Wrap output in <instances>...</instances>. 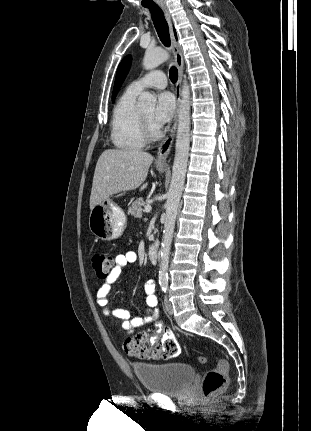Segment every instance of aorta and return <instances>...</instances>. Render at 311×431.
<instances>
[{
	"instance_id": "762f6f07",
	"label": "aorta",
	"mask_w": 311,
	"mask_h": 431,
	"mask_svg": "<svg viewBox=\"0 0 311 431\" xmlns=\"http://www.w3.org/2000/svg\"><path fill=\"white\" fill-rule=\"evenodd\" d=\"M169 58L166 50L158 48H147L143 58L145 70H154ZM157 98L155 94L143 92L140 94L137 102L138 108H151L154 110ZM190 146V88L187 82L182 86V100L178 116V128L175 144V158L172 168V178L168 192L167 202L165 204L166 217L162 235L160 249L159 281H167V271L169 265V255L171 241L175 227V219L179 208L187 170V162Z\"/></svg>"
}]
</instances>
